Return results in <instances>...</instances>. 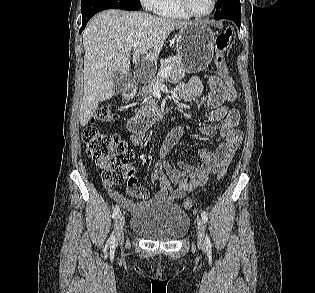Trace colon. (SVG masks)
<instances>
[{"instance_id": "5ec220e1", "label": "colon", "mask_w": 315, "mask_h": 293, "mask_svg": "<svg viewBox=\"0 0 315 293\" xmlns=\"http://www.w3.org/2000/svg\"><path fill=\"white\" fill-rule=\"evenodd\" d=\"M232 31L226 28L220 32L215 39L214 61L217 74L222 78L221 83L225 85V90L229 94H235L237 89V78L229 77V69L226 64L225 54L231 41ZM113 114L109 106H100L92 116L91 122H110ZM83 140L89 157L101 168L103 180L109 184H122L127 182L130 193L141 190L135 183L133 170L130 168L133 160V153L128 149L126 142L119 136L108 135L99 131L95 126L89 125L83 131ZM228 165H223L217 174V179L221 180L227 170ZM184 208L193 210L196 207L192 198L183 200Z\"/></svg>"}]
</instances>
